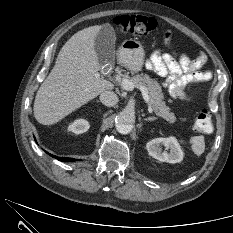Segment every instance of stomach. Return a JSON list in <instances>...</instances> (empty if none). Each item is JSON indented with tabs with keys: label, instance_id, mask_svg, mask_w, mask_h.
<instances>
[{
	"label": "stomach",
	"instance_id": "0dacf381",
	"mask_svg": "<svg viewBox=\"0 0 233 233\" xmlns=\"http://www.w3.org/2000/svg\"><path fill=\"white\" fill-rule=\"evenodd\" d=\"M144 57L143 45L134 39L125 40L119 49V61L133 72L142 69Z\"/></svg>",
	"mask_w": 233,
	"mask_h": 233
}]
</instances>
